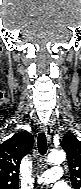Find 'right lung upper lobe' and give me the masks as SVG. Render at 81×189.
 Instances as JSON below:
<instances>
[{"mask_svg": "<svg viewBox=\"0 0 81 189\" xmlns=\"http://www.w3.org/2000/svg\"><path fill=\"white\" fill-rule=\"evenodd\" d=\"M33 142L31 133L18 132L0 145V189L18 187L20 162L31 151Z\"/></svg>", "mask_w": 81, "mask_h": 189, "instance_id": "1", "label": "right lung upper lobe"}]
</instances>
